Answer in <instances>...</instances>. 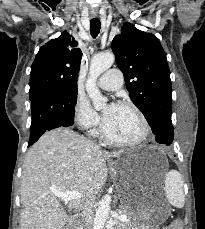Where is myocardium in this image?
Listing matches in <instances>:
<instances>
[{"mask_svg":"<svg viewBox=\"0 0 205 229\" xmlns=\"http://www.w3.org/2000/svg\"><path fill=\"white\" fill-rule=\"evenodd\" d=\"M120 105L128 107L135 112V114L137 115L141 123L142 130H141L140 135L136 139L130 140V141L116 140L112 138L110 134L108 133L107 128H106L105 119H104L101 125L102 137L104 138V140L107 143L113 146H118V147H134V146L142 144L147 139L149 132H150V126H149L146 116L144 115V113L141 111V109L137 105H135L134 103L130 101H123L120 103Z\"/></svg>","mask_w":205,"mask_h":229,"instance_id":"myocardium-1","label":"myocardium"}]
</instances>
